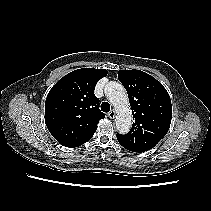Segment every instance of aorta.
<instances>
[{
  "mask_svg": "<svg viewBox=\"0 0 211 211\" xmlns=\"http://www.w3.org/2000/svg\"><path fill=\"white\" fill-rule=\"evenodd\" d=\"M105 93L116 110L115 124L120 134L127 133L132 125V113L125 88L122 84L111 81L105 87Z\"/></svg>",
  "mask_w": 211,
  "mask_h": 211,
  "instance_id": "1",
  "label": "aorta"
}]
</instances>
